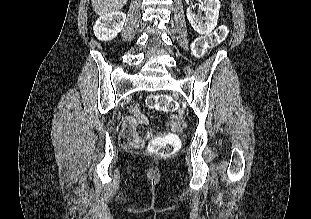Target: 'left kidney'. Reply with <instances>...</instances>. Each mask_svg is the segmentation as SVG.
Segmentation results:
<instances>
[{
	"instance_id": "1",
	"label": "left kidney",
	"mask_w": 311,
	"mask_h": 219,
	"mask_svg": "<svg viewBox=\"0 0 311 219\" xmlns=\"http://www.w3.org/2000/svg\"><path fill=\"white\" fill-rule=\"evenodd\" d=\"M203 11L205 16L196 15L192 8L187 9V18L193 29L201 34L207 35L216 27L219 11V0H203Z\"/></svg>"
}]
</instances>
